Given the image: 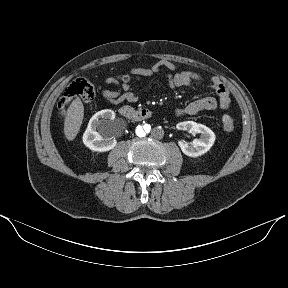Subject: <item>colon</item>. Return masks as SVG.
Returning <instances> with one entry per match:
<instances>
[{"label": "colon", "mask_w": 288, "mask_h": 288, "mask_svg": "<svg viewBox=\"0 0 288 288\" xmlns=\"http://www.w3.org/2000/svg\"><path fill=\"white\" fill-rule=\"evenodd\" d=\"M120 80L127 82L129 81V76L122 75ZM96 94L97 88L93 83L82 78L76 79L66 88L58 102V108L61 113H64L72 100L80 99L84 102H89L95 98ZM222 127L225 132H232L235 127L233 118L229 115H224L222 117Z\"/></svg>", "instance_id": "1"}]
</instances>
